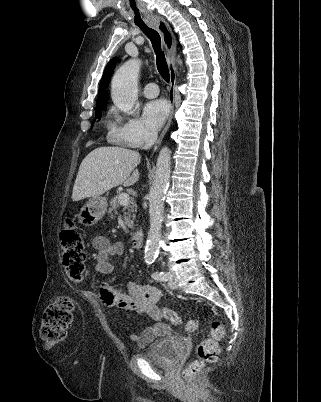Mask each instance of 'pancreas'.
<instances>
[{
	"label": "pancreas",
	"mask_w": 321,
	"mask_h": 402,
	"mask_svg": "<svg viewBox=\"0 0 321 402\" xmlns=\"http://www.w3.org/2000/svg\"><path fill=\"white\" fill-rule=\"evenodd\" d=\"M119 195H116L111 201L110 205L111 207L108 210V214L110 217L113 218L114 214H117V208H119L121 205L119 203ZM137 211V206L134 200L129 201L127 205L124 206L123 212H124V221L125 224L128 226V228L133 229L134 228V218H135V213Z\"/></svg>",
	"instance_id": "pancreas-1"
}]
</instances>
